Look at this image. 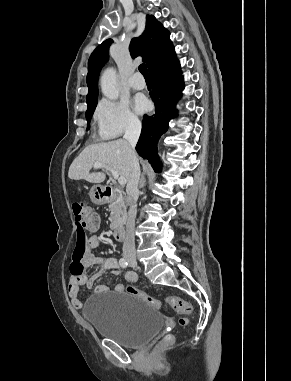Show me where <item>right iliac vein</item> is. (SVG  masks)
<instances>
[{
  "label": "right iliac vein",
  "instance_id": "63e3f726",
  "mask_svg": "<svg viewBox=\"0 0 291 381\" xmlns=\"http://www.w3.org/2000/svg\"><path fill=\"white\" fill-rule=\"evenodd\" d=\"M125 258L129 261V262H135L136 261V255L135 254H127L125 256Z\"/></svg>",
  "mask_w": 291,
  "mask_h": 381
}]
</instances>
